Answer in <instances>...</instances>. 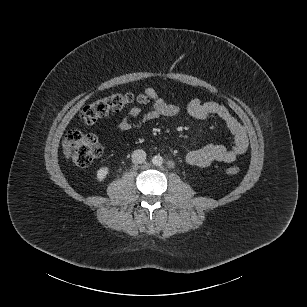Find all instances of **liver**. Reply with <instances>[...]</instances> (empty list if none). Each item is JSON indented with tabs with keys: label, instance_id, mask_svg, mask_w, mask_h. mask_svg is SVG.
Wrapping results in <instances>:
<instances>
[{
	"label": "liver",
	"instance_id": "obj_1",
	"mask_svg": "<svg viewBox=\"0 0 307 307\" xmlns=\"http://www.w3.org/2000/svg\"><path fill=\"white\" fill-rule=\"evenodd\" d=\"M62 150L66 160H70L72 158L73 148L70 144V141L67 138H63L62 140Z\"/></svg>",
	"mask_w": 307,
	"mask_h": 307
}]
</instances>
